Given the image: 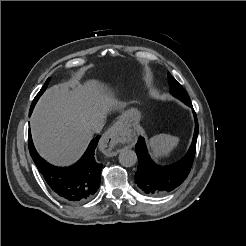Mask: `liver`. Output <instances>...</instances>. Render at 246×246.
Wrapping results in <instances>:
<instances>
[{
  "mask_svg": "<svg viewBox=\"0 0 246 246\" xmlns=\"http://www.w3.org/2000/svg\"><path fill=\"white\" fill-rule=\"evenodd\" d=\"M121 106L94 80L85 85H54L41 96L30 120L35 147L48 162L70 165L83 154L92 138L89 119Z\"/></svg>",
  "mask_w": 246,
  "mask_h": 246,
  "instance_id": "1",
  "label": "liver"
}]
</instances>
